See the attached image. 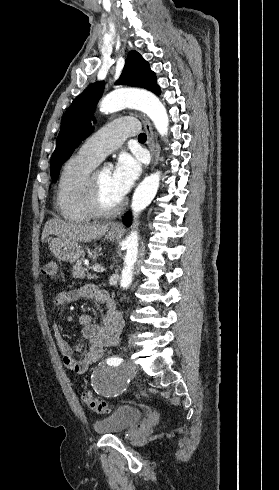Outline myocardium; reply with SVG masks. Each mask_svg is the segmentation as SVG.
Segmentation results:
<instances>
[{
  "label": "myocardium",
  "instance_id": "obj_1",
  "mask_svg": "<svg viewBox=\"0 0 279 490\" xmlns=\"http://www.w3.org/2000/svg\"><path fill=\"white\" fill-rule=\"evenodd\" d=\"M88 205L94 216L111 217L118 214L123 209L124 201L120 199L114 205H106L102 199V190L97 178V172H94L90 177Z\"/></svg>",
  "mask_w": 279,
  "mask_h": 490
}]
</instances>
